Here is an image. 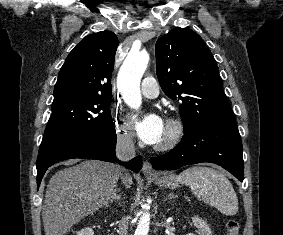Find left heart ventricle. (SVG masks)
Instances as JSON below:
<instances>
[{
    "label": "left heart ventricle",
    "mask_w": 283,
    "mask_h": 235,
    "mask_svg": "<svg viewBox=\"0 0 283 235\" xmlns=\"http://www.w3.org/2000/svg\"><path fill=\"white\" fill-rule=\"evenodd\" d=\"M167 135H168V128H167V126H165L164 132H163L161 139L159 140L158 143L164 141L167 138Z\"/></svg>",
    "instance_id": "1"
}]
</instances>
